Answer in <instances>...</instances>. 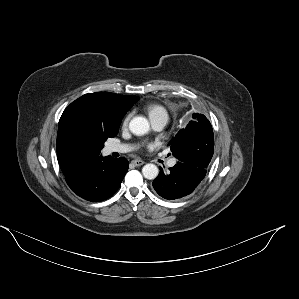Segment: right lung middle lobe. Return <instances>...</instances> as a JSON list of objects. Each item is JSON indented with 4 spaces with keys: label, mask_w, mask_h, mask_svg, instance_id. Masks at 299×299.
I'll return each mask as SVG.
<instances>
[{
    "label": "right lung middle lobe",
    "mask_w": 299,
    "mask_h": 299,
    "mask_svg": "<svg viewBox=\"0 0 299 299\" xmlns=\"http://www.w3.org/2000/svg\"><path fill=\"white\" fill-rule=\"evenodd\" d=\"M117 133H118V131H117L116 133H114V134H111V135L99 134V135H98V138H99V140H100L102 143H104V142L107 140L108 137H114V136L117 135Z\"/></svg>",
    "instance_id": "obj_1"
}]
</instances>
